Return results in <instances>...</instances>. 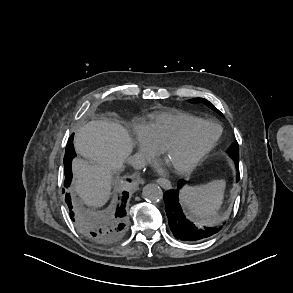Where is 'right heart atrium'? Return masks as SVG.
<instances>
[{
  "label": "right heart atrium",
  "instance_id": "obj_1",
  "mask_svg": "<svg viewBox=\"0 0 293 293\" xmlns=\"http://www.w3.org/2000/svg\"><path fill=\"white\" fill-rule=\"evenodd\" d=\"M137 146L139 153L144 158H150L156 153V148L144 136L142 128L137 129Z\"/></svg>",
  "mask_w": 293,
  "mask_h": 293
}]
</instances>
